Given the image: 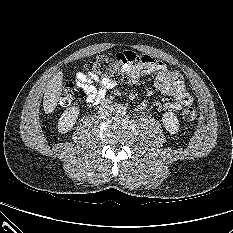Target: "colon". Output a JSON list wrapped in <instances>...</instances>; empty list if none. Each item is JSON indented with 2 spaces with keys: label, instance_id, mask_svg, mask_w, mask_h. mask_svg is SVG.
<instances>
[{
  "label": "colon",
  "instance_id": "5ec220e1",
  "mask_svg": "<svg viewBox=\"0 0 233 233\" xmlns=\"http://www.w3.org/2000/svg\"><path fill=\"white\" fill-rule=\"evenodd\" d=\"M131 66L130 61L123 60L118 56L110 57L101 54L87 64V70L113 81H130L133 78ZM83 95L84 91L80 87L73 82H68L63 87L60 101L62 105H69L75 100L81 99ZM197 115V110L190 105L182 111V119L187 123L195 121Z\"/></svg>",
  "mask_w": 233,
  "mask_h": 233
}]
</instances>
